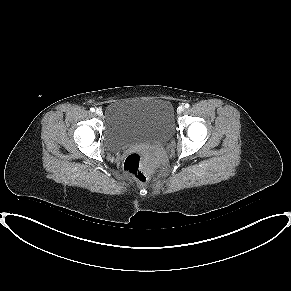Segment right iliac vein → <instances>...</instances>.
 <instances>
[{
	"mask_svg": "<svg viewBox=\"0 0 291 291\" xmlns=\"http://www.w3.org/2000/svg\"><path fill=\"white\" fill-rule=\"evenodd\" d=\"M96 114L98 116H102L103 115V112H102V110L100 108H98V109H96Z\"/></svg>",
	"mask_w": 291,
	"mask_h": 291,
	"instance_id": "obj_1",
	"label": "right iliac vein"
}]
</instances>
